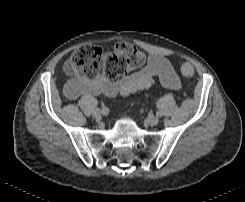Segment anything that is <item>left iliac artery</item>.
<instances>
[{
  "label": "left iliac artery",
  "mask_w": 245,
  "mask_h": 202,
  "mask_svg": "<svg viewBox=\"0 0 245 202\" xmlns=\"http://www.w3.org/2000/svg\"><path fill=\"white\" fill-rule=\"evenodd\" d=\"M156 115H157L158 117H160V116L162 115V113H161L160 111H157Z\"/></svg>",
  "instance_id": "44dca946"
}]
</instances>
